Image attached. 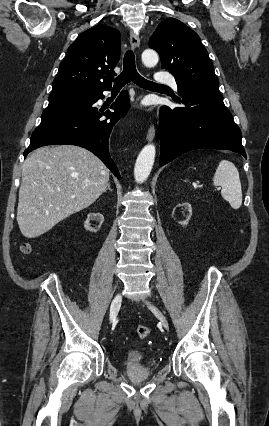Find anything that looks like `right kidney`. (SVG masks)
Listing matches in <instances>:
<instances>
[{"label": "right kidney", "mask_w": 269, "mask_h": 426, "mask_svg": "<svg viewBox=\"0 0 269 426\" xmlns=\"http://www.w3.org/2000/svg\"><path fill=\"white\" fill-rule=\"evenodd\" d=\"M103 219V215L100 213H90L88 214V218L86 219V224L84 227L88 230L89 234H94L95 230L103 229V224L105 223Z\"/></svg>", "instance_id": "obj_1"}]
</instances>
